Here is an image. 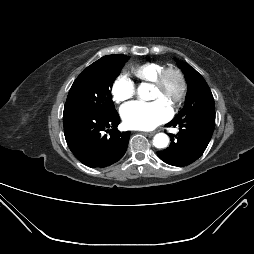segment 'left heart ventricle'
<instances>
[{
	"label": "left heart ventricle",
	"instance_id": "b2bd125f",
	"mask_svg": "<svg viewBox=\"0 0 254 254\" xmlns=\"http://www.w3.org/2000/svg\"><path fill=\"white\" fill-rule=\"evenodd\" d=\"M178 92V82L173 75H168L163 89L152 88L150 93L151 100H157L170 108Z\"/></svg>",
	"mask_w": 254,
	"mask_h": 254
}]
</instances>
